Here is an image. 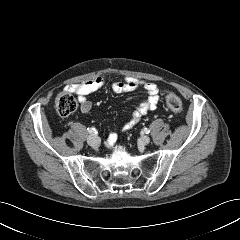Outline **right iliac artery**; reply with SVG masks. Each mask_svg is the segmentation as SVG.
I'll return each mask as SVG.
<instances>
[{
  "label": "right iliac artery",
  "instance_id": "1",
  "mask_svg": "<svg viewBox=\"0 0 240 240\" xmlns=\"http://www.w3.org/2000/svg\"><path fill=\"white\" fill-rule=\"evenodd\" d=\"M87 130L90 134L96 133V129L94 127L87 128Z\"/></svg>",
  "mask_w": 240,
  "mask_h": 240
}]
</instances>
